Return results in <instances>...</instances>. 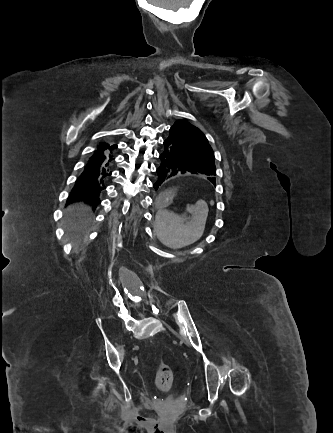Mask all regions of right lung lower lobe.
I'll return each mask as SVG.
<instances>
[{
    "label": "right lung lower lobe",
    "instance_id": "right-lung-lower-lobe-1",
    "mask_svg": "<svg viewBox=\"0 0 333 433\" xmlns=\"http://www.w3.org/2000/svg\"><path fill=\"white\" fill-rule=\"evenodd\" d=\"M116 145L101 143L90 157L84 171L77 179L70 200H83L95 208L101 203L100 193L106 188V181L111 175V167L115 156L112 150Z\"/></svg>",
    "mask_w": 333,
    "mask_h": 433
}]
</instances>
